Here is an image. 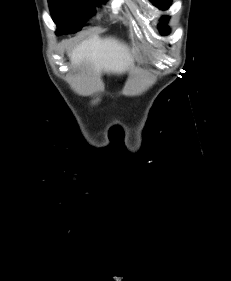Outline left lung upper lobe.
Returning a JSON list of instances; mask_svg holds the SVG:
<instances>
[{"mask_svg":"<svg viewBox=\"0 0 231 281\" xmlns=\"http://www.w3.org/2000/svg\"><path fill=\"white\" fill-rule=\"evenodd\" d=\"M154 5L159 7L160 9H167L171 5V0H150ZM169 17H163L162 18V24L159 25L160 32L164 35H167L169 33L167 26L163 25Z\"/></svg>","mask_w":231,"mask_h":281,"instance_id":"obj_1","label":"left lung upper lobe"}]
</instances>
